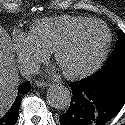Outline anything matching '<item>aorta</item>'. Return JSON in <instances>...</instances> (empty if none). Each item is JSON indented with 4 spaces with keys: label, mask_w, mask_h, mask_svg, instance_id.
<instances>
[{
    "label": "aorta",
    "mask_w": 125,
    "mask_h": 125,
    "mask_svg": "<svg viewBox=\"0 0 125 125\" xmlns=\"http://www.w3.org/2000/svg\"><path fill=\"white\" fill-rule=\"evenodd\" d=\"M71 98L72 93L62 84L52 86L47 92L49 105L55 109H66L70 105Z\"/></svg>",
    "instance_id": "1"
}]
</instances>
